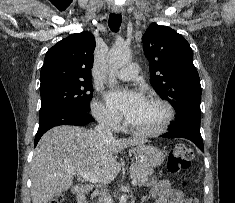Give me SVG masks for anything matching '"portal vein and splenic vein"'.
<instances>
[{
    "label": "portal vein and splenic vein",
    "mask_w": 235,
    "mask_h": 203,
    "mask_svg": "<svg viewBox=\"0 0 235 203\" xmlns=\"http://www.w3.org/2000/svg\"><path fill=\"white\" fill-rule=\"evenodd\" d=\"M74 175H77L91 183H97L99 181L98 177L92 173V172H85V173H74ZM132 184L136 185L137 184V180L133 179L132 180Z\"/></svg>",
    "instance_id": "1"
}]
</instances>
